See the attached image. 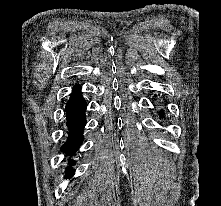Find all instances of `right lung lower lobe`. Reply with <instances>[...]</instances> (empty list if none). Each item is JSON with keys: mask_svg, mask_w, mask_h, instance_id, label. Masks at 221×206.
I'll use <instances>...</instances> for the list:
<instances>
[{"mask_svg": "<svg viewBox=\"0 0 221 206\" xmlns=\"http://www.w3.org/2000/svg\"><path fill=\"white\" fill-rule=\"evenodd\" d=\"M80 90L81 87L76 85L66 104L68 138L62 145L61 150L67 154H73L76 152L84 140L82 133L86 124L85 110L87 105ZM69 164L74 165L75 162L71 161ZM73 174L74 170L71 167H68L66 170L67 177H71Z\"/></svg>", "mask_w": 221, "mask_h": 206, "instance_id": "98d812e1", "label": "right lung lower lobe"}]
</instances>
